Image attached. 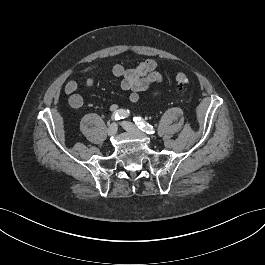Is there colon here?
I'll return each instance as SVG.
<instances>
[{"mask_svg":"<svg viewBox=\"0 0 265 265\" xmlns=\"http://www.w3.org/2000/svg\"><path fill=\"white\" fill-rule=\"evenodd\" d=\"M175 82L179 88H185L189 84V78L185 73H177L175 75Z\"/></svg>","mask_w":265,"mask_h":265,"instance_id":"5ec220e1","label":"colon"}]
</instances>
